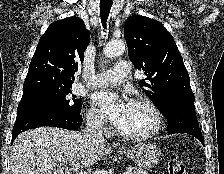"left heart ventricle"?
Wrapping results in <instances>:
<instances>
[{"mask_svg":"<svg viewBox=\"0 0 224 174\" xmlns=\"http://www.w3.org/2000/svg\"><path fill=\"white\" fill-rule=\"evenodd\" d=\"M153 125L154 117L151 111L144 105L131 103L119 130L129 134H139L149 131Z\"/></svg>","mask_w":224,"mask_h":174,"instance_id":"obj_1","label":"left heart ventricle"}]
</instances>
